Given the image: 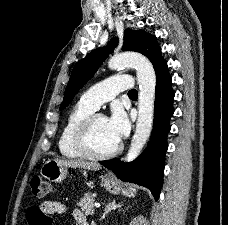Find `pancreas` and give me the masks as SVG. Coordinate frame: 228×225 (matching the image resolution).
<instances>
[{"label":"pancreas","instance_id":"cf45deb5","mask_svg":"<svg viewBox=\"0 0 228 225\" xmlns=\"http://www.w3.org/2000/svg\"><path fill=\"white\" fill-rule=\"evenodd\" d=\"M95 199L91 193H85L83 199H80V203H77L78 207H81L84 215H94Z\"/></svg>","mask_w":228,"mask_h":225}]
</instances>
